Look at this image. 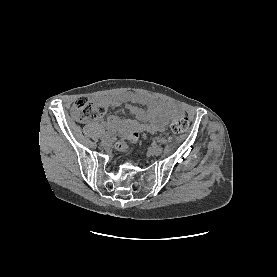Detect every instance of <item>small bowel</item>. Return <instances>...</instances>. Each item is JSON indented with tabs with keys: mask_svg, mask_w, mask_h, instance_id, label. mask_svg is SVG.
Wrapping results in <instances>:
<instances>
[{
	"mask_svg": "<svg viewBox=\"0 0 277 277\" xmlns=\"http://www.w3.org/2000/svg\"><path fill=\"white\" fill-rule=\"evenodd\" d=\"M98 102L103 106H119L123 102L145 103L147 109L129 105L133 116L143 123V127L149 132L162 131L168 123V117L174 111L173 106L163 100L143 96L133 92L116 93L111 96L100 97ZM128 121L109 115L103 125L109 130L121 129Z\"/></svg>",
	"mask_w": 277,
	"mask_h": 277,
	"instance_id": "1",
	"label": "small bowel"
}]
</instances>
